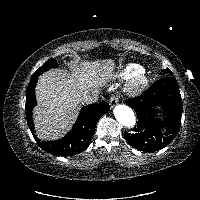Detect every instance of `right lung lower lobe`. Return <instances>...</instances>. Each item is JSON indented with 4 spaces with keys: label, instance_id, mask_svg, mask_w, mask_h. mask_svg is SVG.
<instances>
[{
    "label": "right lung lower lobe",
    "instance_id": "right-lung-lower-lobe-1",
    "mask_svg": "<svg viewBox=\"0 0 200 200\" xmlns=\"http://www.w3.org/2000/svg\"><path fill=\"white\" fill-rule=\"evenodd\" d=\"M37 78H31L26 90V118L38 145L46 152L58 156H72L84 151L90 144L95 126L100 117L110 110L107 103L92 104L82 108L72 130L62 139L52 142L40 141L34 134L32 110L36 105L35 86Z\"/></svg>",
    "mask_w": 200,
    "mask_h": 200
}]
</instances>
